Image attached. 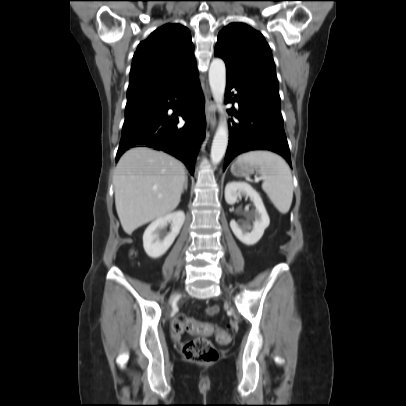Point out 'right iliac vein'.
<instances>
[{
  "instance_id": "right-iliac-vein-1",
  "label": "right iliac vein",
  "mask_w": 406,
  "mask_h": 406,
  "mask_svg": "<svg viewBox=\"0 0 406 406\" xmlns=\"http://www.w3.org/2000/svg\"><path fill=\"white\" fill-rule=\"evenodd\" d=\"M176 295H177V293H174V294L171 296V300H173V299L176 297Z\"/></svg>"
}]
</instances>
